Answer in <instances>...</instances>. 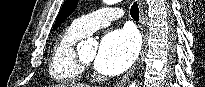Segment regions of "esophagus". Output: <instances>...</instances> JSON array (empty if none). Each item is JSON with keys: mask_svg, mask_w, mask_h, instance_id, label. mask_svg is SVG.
<instances>
[{"mask_svg": "<svg viewBox=\"0 0 205 87\" xmlns=\"http://www.w3.org/2000/svg\"><path fill=\"white\" fill-rule=\"evenodd\" d=\"M138 3V8H139V27L143 36V45H142V49L141 52L136 60V62L134 63V65L129 69V71L122 77V79L116 84V87H124L126 85V83L129 81V79L131 78V76L133 75L134 71L136 70L141 57L143 55V49L145 46V40H146V34H145V16H144V9H143V4H142V0H137Z\"/></svg>", "mask_w": 205, "mask_h": 87, "instance_id": "1", "label": "esophagus"}]
</instances>
